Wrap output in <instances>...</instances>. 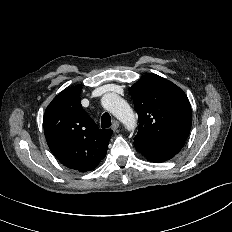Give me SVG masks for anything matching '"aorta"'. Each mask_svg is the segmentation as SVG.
<instances>
[{
    "label": "aorta",
    "instance_id": "aorta-1",
    "mask_svg": "<svg viewBox=\"0 0 232 232\" xmlns=\"http://www.w3.org/2000/svg\"><path fill=\"white\" fill-rule=\"evenodd\" d=\"M102 106L110 111L128 131L136 127V118L129 104L115 93H107L101 99Z\"/></svg>",
    "mask_w": 232,
    "mask_h": 232
}]
</instances>
